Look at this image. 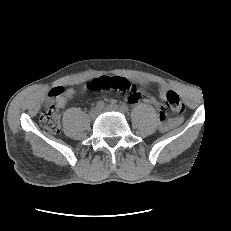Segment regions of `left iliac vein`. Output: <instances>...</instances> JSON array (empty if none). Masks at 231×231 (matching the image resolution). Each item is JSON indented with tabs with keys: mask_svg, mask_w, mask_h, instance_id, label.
<instances>
[{
	"mask_svg": "<svg viewBox=\"0 0 231 231\" xmlns=\"http://www.w3.org/2000/svg\"><path fill=\"white\" fill-rule=\"evenodd\" d=\"M105 111H116V112H120V113H124V111L121 109V107L117 106V105H107L104 108Z\"/></svg>",
	"mask_w": 231,
	"mask_h": 231,
	"instance_id": "1",
	"label": "left iliac vein"
}]
</instances>
